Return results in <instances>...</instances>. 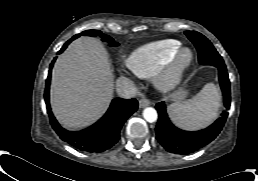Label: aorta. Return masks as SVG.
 <instances>
[{
	"mask_svg": "<svg viewBox=\"0 0 258 181\" xmlns=\"http://www.w3.org/2000/svg\"><path fill=\"white\" fill-rule=\"evenodd\" d=\"M143 117L150 123L155 122L158 118L157 111L152 107H147L143 110Z\"/></svg>",
	"mask_w": 258,
	"mask_h": 181,
	"instance_id": "762f6f07",
	"label": "aorta"
}]
</instances>
